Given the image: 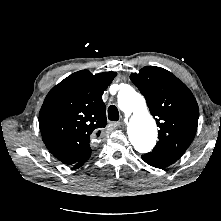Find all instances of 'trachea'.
Returning <instances> with one entry per match:
<instances>
[{
  "instance_id": "obj_1",
  "label": "trachea",
  "mask_w": 221,
  "mask_h": 221,
  "mask_svg": "<svg viewBox=\"0 0 221 221\" xmlns=\"http://www.w3.org/2000/svg\"><path fill=\"white\" fill-rule=\"evenodd\" d=\"M108 119L111 121H118L119 120V111L115 105H111L108 108Z\"/></svg>"
}]
</instances>
